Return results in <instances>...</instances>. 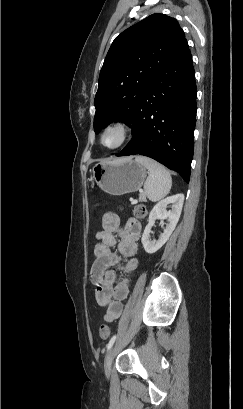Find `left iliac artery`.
Segmentation results:
<instances>
[{"label":"left iliac artery","instance_id":"1","mask_svg":"<svg viewBox=\"0 0 243 409\" xmlns=\"http://www.w3.org/2000/svg\"><path fill=\"white\" fill-rule=\"evenodd\" d=\"M115 340H116V335H113L112 338L110 339V341L108 342L107 346H106L107 350H109L113 346Z\"/></svg>","mask_w":243,"mask_h":409}]
</instances>
